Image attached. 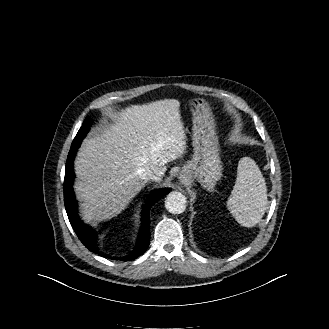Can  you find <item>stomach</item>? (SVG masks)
I'll return each instance as SVG.
<instances>
[{
	"instance_id": "0dacf381",
	"label": "stomach",
	"mask_w": 329,
	"mask_h": 329,
	"mask_svg": "<svg viewBox=\"0 0 329 329\" xmlns=\"http://www.w3.org/2000/svg\"><path fill=\"white\" fill-rule=\"evenodd\" d=\"M190 110L193 116L194 154L192 160L183 166L180 178L182 181L196 180L207 191H213L217 181L222 177L216 124L205 100H192Z\"/></svg>"
}]
</instances>
